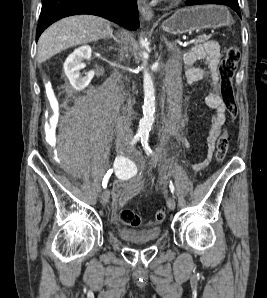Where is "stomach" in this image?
Wrapping results in <instances>:
<instances>
[{
    "mask_svg": "<svg viewBox=\"0 0 267 298\" xmlns=\"http://www.w3.org/2000/svg\"><path fill=\"white\" fill-rule=\"evenodd\" d=\"M232 23L229 11L220 5H197L176 11L162 23L163 31L180 35L207 28H220Z\"/></svg>",
    "mask_w": 267,
    "mask_h": 298,
    "instance_id": "obj_1",
    "label": "stomach"
}]
</instances>
